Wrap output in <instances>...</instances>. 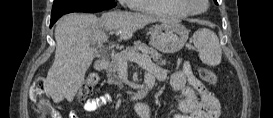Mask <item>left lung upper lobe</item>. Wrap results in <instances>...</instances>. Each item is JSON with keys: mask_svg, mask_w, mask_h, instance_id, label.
Wrapping results in <instances>:
<instances>
[{"mask_svg": "<svg viewBox=\"0 0 273 118\" xmlns=\"http://www.w3.org/2000/svg\"><path fill=\"white\" fill-rule=\"evenodd\" d=\"M214 2H215L216 4H218L216 0H214Z\"/></svg>", "mask_w": 273, "mask_h": 118, "instance_id": "left-lung-upper-lobe-1", "label": "left lung upper lobe"}]
</instances>
